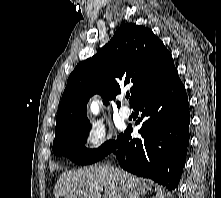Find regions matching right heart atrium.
<instances>
[{
	"mask_svg": "<svg viewBox=\"0 0 221 198\" xmlns=\"http://www.w3.org/2000/svg\"><path fill=\"white\" fill-rule=\"evenodd\" d=\"M109 141L107 128L100 123L90 124L83 133V142L90 152L103 150Z\"/></svg>",
	"mask_w": 221,
	"mask_h": 198,
	"instance_id": "d8ad5b80",
	"label": "right heart atrium"
}]
</instances>
